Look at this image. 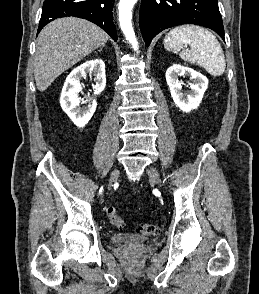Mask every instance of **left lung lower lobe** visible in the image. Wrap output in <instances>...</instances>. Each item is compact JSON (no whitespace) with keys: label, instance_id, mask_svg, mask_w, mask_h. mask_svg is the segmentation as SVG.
Wrapping results in <instances>:
<instances>
[{"label":"left lung lower lobe","instance_id":"0a47b994","mask_svg":"<svg viewBox=\"0 0 259 294\" xmlns=\"http://www.w3.org/2000/svg\"><path fill=\"white\" fill-rule=\"evenodd\" d=\"M139 21L147 46L159 32L181 24L210 28L225 41L218 0H142Z\"/></svg>","mask_w":259,"mask_h":294}]
</instances>
